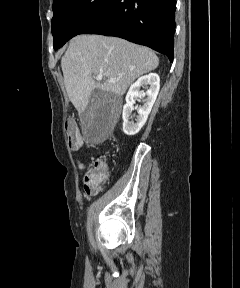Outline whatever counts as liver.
<instances>
[{"label":"liver","mask_w":240,"mask_h":288,"mask_svg":"<svg viewBox=\"0 0 240 288\" xmlns=\"http://www.w3.org/2000/svg\"><path fill=\"white\" fill-rule=\"evenodd\" d=\"M158 65L159 58L150 49L102 35L74 37L61 60L66 91L79 114L86 110L95 89L122 96L134 80ZM98 74L103 82L95 81Z\"/></svg>","instance_id":"6515ba94"}]
</instances>
